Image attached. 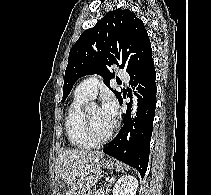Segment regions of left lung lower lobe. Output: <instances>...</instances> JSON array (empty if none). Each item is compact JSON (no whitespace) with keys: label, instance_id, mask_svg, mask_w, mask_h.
I'll use <instances>...</instances> for the list:
<instances>
[{"label":"left lung lower lobe","instance_id":"left-lung-lower-lobe-1","mask_svg":"<svg viewBox=\"0 0 211 195\" xmlns=\"http://www.w3.org/2000/svg\"><path fill=\"white\" fill-rule=\"evenodd\" d=\"M153 58L130 76V85H138L137 117L131 120V102L124 114V126L118 135L103 149V152L136 168L142 178L149 160L150 140L156 108V83ZM132 98L131 94H128ZM125 97V96H124ZM122 104L123 99L119 100Z\"/></svg>","mask_w":211,"mask_h":195}]
</instances>
